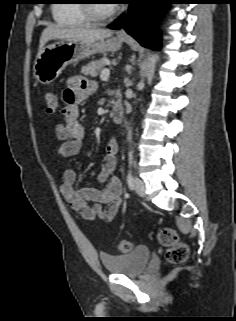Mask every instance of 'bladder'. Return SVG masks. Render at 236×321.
<instances>
[{
	"label": "bladder",
	"instance_id": "1",
	"mask_svg": "<svg viewBox=\"0 0 236 321\" xmlns=\"http://www.w3.org/2000/svg\"><path fill=\"white\" fill-rule=\"evenodd\" d=\"M150 257V249L139 245L126 254H102L100 258L105 270L111 274L137 276L145 269Z\"/></svg>",
	"mask_w": 236,
	"mask_h": 321
}]
</instances>
